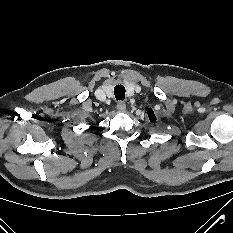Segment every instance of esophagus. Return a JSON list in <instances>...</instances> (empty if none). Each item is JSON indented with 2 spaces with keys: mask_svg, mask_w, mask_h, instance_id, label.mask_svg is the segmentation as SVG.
<instances>
[{
  "mask_svg": "<svg viewBox=\"0 0 233 233\" xmlns=\"http://www.w3.org/2000/svg\"><path fill=\"white\" fill-rule=\"evenodd\" d=\"M117 110L119 112H125L126 110V104L122 101L118 102L117 106H116Z\"/></svg>",
  "mask_w": 233,
  "mask_h": 233,
  "instance_id": "obj_1",
  "label": "esophagus"
}]
</instances>
